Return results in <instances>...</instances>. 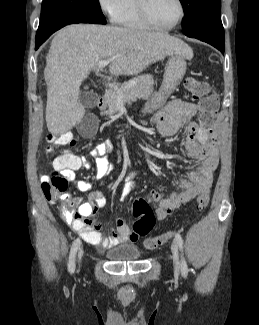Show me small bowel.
Listing matches in <instances>:
<instances>
[{
    "mask_svg": "<svg viewBox=\"0 0 259 325\" xmlns=\"http://www.w3.org/2000/svg\"><path fill=\"white\" fill-rule=\"evenodd\" d=\"M198 112H201V115L204 113L201 104L196 105L181 99H173L153 115L158 132L163 137H173L185 127L187 155L200 162V165L187 178H178L176 180L181 192L173 193L167 198L163 197L159 192L147 194V199L158 205L155 211L158 220L165 219L174 210L189 202L198 194L208 192L212 185L213 173L218 164L216 137L214 131L209 133L194 120ZM109 152H111V146L106 142L96 145L90 151V155L95 159L96 180L108 178L112 174L114 164L106 158V154ZM53 165L67 181L75 184L79 191L87 192L91 189L90 182L76 179V172L80 168H91V162L87 158L66 152L57 157ZM135 176L136 172H132L124 178L121 191L122 200L136 187ZM46 178L47 176L44 175L42 180ZM61 199L67 205L78 209V212L74 215L66 207H63L62 215L64 219L83 240L98 249H108L119 243H134L138 240L139 236L120 218L115 221L116 229H106L104 234L101 232L100 224L87 219L98 208L105 206L106 196L102 191L91 192L89 202L86 203H83L81 198L72 197L69 194H63Z\"/></svg>",
    "mask_w": 259,
    "mask_h": 325,
    "instance_id": "obj_1",
    "label": "small bowel"
}]
</instances>
